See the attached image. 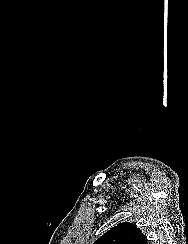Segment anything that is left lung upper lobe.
<instances>
[{
	"instance_id": "left-lung-upper-lobe-1",
	"label": "left lung upper lobe",
	"mask_w": 188,
	"mask_h": 244,
	"mask_svg": "<svg viewBox=\"0 0 188 244\" xmlns=\"http://www.w3.org/2000/svg\"><path fill=\"white\" fill-rule=\"evenodd\" d=\"M94 244H147V241L136 225L123 222L107 231Z\"/></svg>"
}]
</instances>
